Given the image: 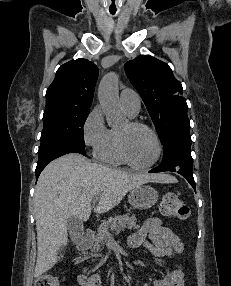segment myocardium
<instances>
[{"instance_id": "1", "label": "myocardium", "mask_w": 231, "mask_h": 286, "mask_svg": "<svg viewBox=\"0 0 231 286\" xmlns=\"http://www.w3.org/2000/svg\"><path fill=\"white\" fill-rule=\"evenodd\" d=\"M128 123V126L129 128H143L147 131H149L154 139H155V142H156V146H157V152H156V156L155 158L149 162L148 164H145V165H139L137 163H135L131 157L129 156L128 152H127V148H126V143H125V138H124V135L117 131V147H118V152L122 158V160L127 164L129 165L130 167H132L133 169H136V170H141V171H144V170H148L150 169L151 167H153L161 158V155H162V152H163V145H162V141H161V138L159 136V134L157 133V131L149 126L148 124L146 123H143L141 121H138V120H134V119H130L127 121Z\"/></svg>"}]
</instances>
